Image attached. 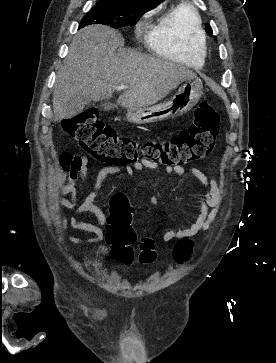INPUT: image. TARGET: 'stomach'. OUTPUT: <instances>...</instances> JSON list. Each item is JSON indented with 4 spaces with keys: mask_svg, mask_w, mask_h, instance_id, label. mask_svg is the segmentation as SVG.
<instances>
[{
    "mask_svg": "<svg viewBox=\"0 0 276 363\" xmlns=\"http://www.w3.org/2000/svg\"><path fill=\"white\" fill-rule=\"evenodd\" d=\"M202 93V81L197 77L188 79L167 102L147 108L127 109L126 118L135 124L173 119L190 111L198 103Z\"/></svg>",
    "mask_w": 276,
    "mask_h": 363,
    "instance_id": "0dacf381",
    "label": "stomach"
}]
</instances>
